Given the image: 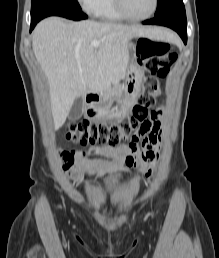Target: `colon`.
Returning <instances> with one entry per match:
<instances>
[{
    "instance_id": "5ec220e1",
    "label": "colon",
    "mask_w": 219,
    "mask_h": 258,
    "mask_svg": "<svg viewBox=\"0 0 219 258\" xmlns=\"http://www.w3.org/2000/svg\"><path fill=\"white\" fill-rule=\"evenodd\" d=\"M138 58L140 64L151 74L143 83L137 103L132 114L126 121L94 122L83 120L69 126L66 137L82 145H99L117 147L130 141L140 126L148 120L151 108L155 104L161 90L159 78L168 75L177 60V54L172 52L166 42L142 38L138 42ZM60 156L65 165L71 164L74 153L61 151Z\"/></svg>"
}]
</instances>
